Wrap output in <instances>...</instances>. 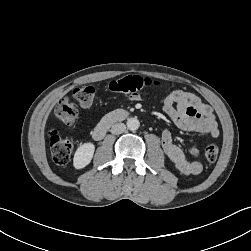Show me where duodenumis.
I'll return each instance as SVG.
<instances>
[{
    "instance_id": "obj_1",
    "label": "duodenum",
    "mask_w": 251,
    "mask_h": 251,
    "mask_svg": "<svg viewBox=\"0 0 251 251\" xmlns=\"http://www.w3.org/2000/svg\"><path fill=\"white\" fill-rule=\"evenodd\" d=\"M128 116L124 110H117L105 115L93 130V138L102 139L107 131L116 123L123 121Z\"/></svg>"
}]
</instances>
